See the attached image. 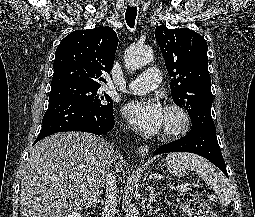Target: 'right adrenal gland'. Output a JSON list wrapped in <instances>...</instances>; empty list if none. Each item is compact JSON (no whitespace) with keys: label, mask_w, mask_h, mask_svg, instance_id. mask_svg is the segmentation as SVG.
Here are the masks:
<instances>
[{"label":"right adrenal gland","mask_w":255,"mask_h":217,"mask_svg":"<svg viewBox=\"0 0 255 217\" xmlns=\"http://www.w3.org/2000/svg\"><path fill=\"white\" fill-rule=\"evenodd\" d=\"M97 203H100L101 205H103L104 201H103V199H101V200H98Z\"/></svg>","instance_id":"right-adrenal-gland-1"}]
</instances>
